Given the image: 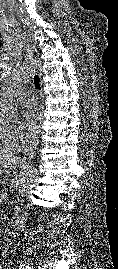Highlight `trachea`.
Listing matches in <instances>:
<instances>
[{
  "instance_id": "3493384b",
  "label": "trachea",
  "mask_w": 118,
  "mask_h": 269,
  "mask_svg": "<svg viewBox=\"0 0 118 269\" xmlns=\"http://www.w3.org/2000/svg\"><path fill=\"white\" fill-rule=\"evenodd\" d=\"M34 85L37 89H41V86H40V79L38 77V75H35L34 76Z\"/></svg>"
}]
</instances>
